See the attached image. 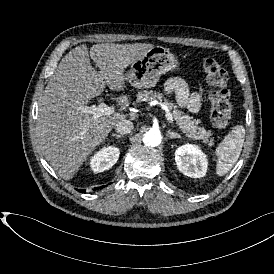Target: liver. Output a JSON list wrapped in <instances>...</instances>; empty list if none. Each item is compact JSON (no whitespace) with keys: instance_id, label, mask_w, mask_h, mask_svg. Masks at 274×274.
<instances>
[{"instance_id":"1","label":"liver","mask_w":274,"mask_h":274,"mask_svg":"<svg viewBox=\"0 0 274 274\" xmlns=\"http://www.w3.org/2000/svg\"><path fill=\"white\" fill-rule=\"evenodd\" d=\"M151 48L153 45L146 43H101L88 50L83 44L62 58L39 99L36 128L43 155L60 177L71 179L116 123L127 117L115 112L94 119L80 107L101 95L106 85L111 90L123 91L125 68ZM90 59L99 71L92 67ZM116 101L120 111L129 105L125 95Z\"/></svg>"}]
</instances>
